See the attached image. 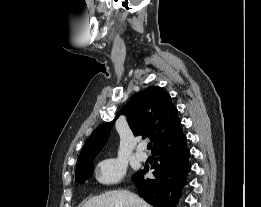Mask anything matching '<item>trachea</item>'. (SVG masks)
I'll list each match as a JSON object with an SVG mask.
<instances>
[{"instance_id":"3493384b","label":"trachea","mask_w":261,"mask_h":207,"mask_svg":"<svg viewBox=\"0 0 261 207\" xmlns=\"http://www.w3.org/2000/svg\"><path fill=\"white\" fill-rule=\"evenodd\" d=\"M147 148L150 150L152 148V143H149Z\"/></svg>"}]
</instances>
